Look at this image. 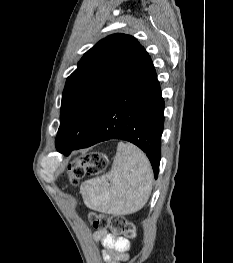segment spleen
Instances as JSON below:
<instances>
[{
    "mask_svg": "<svg viewBox=\"0 0 233 263\" xmlns=\"http://www.w3.org/2000/svg\"><path fill=\"white\" fill-rule=\"evenodd\" d=\"M152 184V168L146 155L133 144L119 142L110 172L83 182L80 190L88 208L126 215L145 206Z\"/></svg>",
    "mask_w": 233,
    "mask_h": 263,
    "instance_id": "spleen-1",
    "label": "spleen"
}]
</instances>
